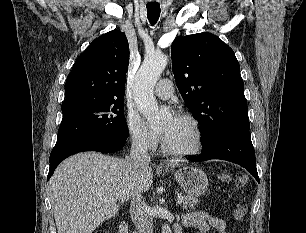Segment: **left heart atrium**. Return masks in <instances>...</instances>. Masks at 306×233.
I'll list each match as a JSON object with an SVG mask.
<instances>
[{
	"mask_svg": "<svg viewBox=\"0 0 306 233\" xmlns=\"http://www.w3.org/2000/svg\"><path fill=\"white\" fill-rule=\"evenodd\" d=\"M173 119H175V118H173ZM161 134H162V137L164 138L165 135H166V131L165 132H161Z\"/></svg>",
	"mask_w": 306,
	"mask_h": 233,
	"instance_id": "1",
	"label": "left heart atrium"
}]
</instances>
